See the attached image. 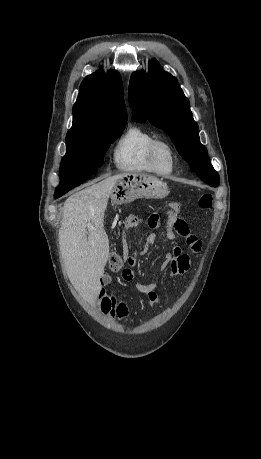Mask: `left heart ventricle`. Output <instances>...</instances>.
Wrapping results in <instances>:
<instances>
[{
    "instance_id": "obj_1",
    "label": "left heart ventricle",
    "mask_w": 261,
    "mask_h": 459,
    "mask_svg": "<svg viewBox=\"0 0 261 459\" xmlns=\"http://www.w3.org/2000/svg\"><path fill=\"white\" fill-rule=\"evenodd\" d=\"M157 166L163 172H168L172 166V159L169 152L165 148H160L157 153Z\"/></svg>"
}]
</instances>
